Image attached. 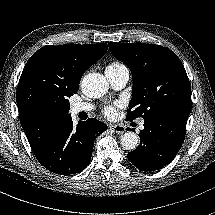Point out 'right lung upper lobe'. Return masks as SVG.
Returning <instances> with one entry per match:
<instances>
[{
	"mask_svg": "<svg viewBox=\"0 0 215 215\" xmlns=\"http://www.w3.org/2000/svg\"><path fill=\"white\" fill-rule=\"evenodd\" d=\"M106 51V43L47 45L28 60L16 100L21 125L33 152L70 116L65 110L68 98L78 91L84 72Z\"/></svg>",
	"mask_w": 215,
	"mask_h": 215,
	"instance_id": "cb5924a9",
	"label": "right lung upper lobe"
}]
</instances>
